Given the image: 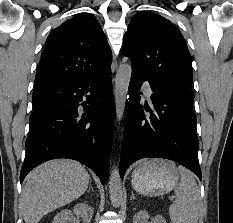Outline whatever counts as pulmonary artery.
Segmentation results:
<instances>
[{"instance_id":"1","label":"pulmonary artery","mask_w":233,"mask_h":223,"mask_svg":"<svg viewBox=\"0 0 233 223\" xmlns=\"http://www.w3.org/2000/svg\"><path fill=\"white\" fill-rule=\"evenodd\" d=\"M142 88H143L145 95L148 98H150L153 93L150 83L148 81H144L142 84Z\"/></svg>"}]
</instances>
